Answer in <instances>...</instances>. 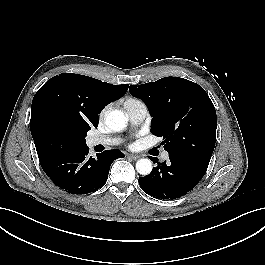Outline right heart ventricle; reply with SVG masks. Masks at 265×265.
<instances>
[{
  "label": "right heart ventricle",
  "mask_w": 265,
  "mask_h": 265,
  "mask_svg": "<svg viewBox=\"0 0 265 265\" xmlns=\"http://www.w3.org/2000/svg\"><path fill=\"white\" fill-rule=\"evenodd\" d=\"M135 102H140L138 99H135V98H128L126 101H125V105L126 104H131V103H135Z\"/></svg>",
  "instance_id": "1"
}]
</instances>
